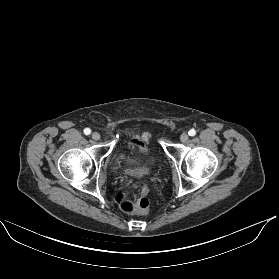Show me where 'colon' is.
I'll return each mask as SVG.
<instances>
[{"label":"colon","instance_id":"colon-1","mask_svg":"<svg viewBox=\"0 0 279 279\" xmlns=\"http://www.w3.org/2000/svg\"><path fill=\"white\" fill-rule=\"evenodd\" d=\"M116 200L123 212L134 213L137 215L146 214L150 205L147 198L141 197L136 200H132L126 193L123 192L117 194Z\"/></svg>","mask_w":279,"mask_h":279}]
</instances>
